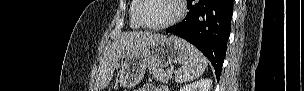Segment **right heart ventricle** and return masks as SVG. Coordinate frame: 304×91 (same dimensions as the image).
I'll return each mask as SVG.
<instances>
[{"instance_id": "e07e8e85", "label": "right heart ventricle", "mask_w": 304, "mask_h": 91, "mask_svg": "<svg viewBox=\"0 0 304 91\" xmlns=\"http://www.w3.org/2000/svg\"><path fill=\"white\" fill-rule=\"evenodd\" d=\"M138 7V1L137 0H133L131 3V7H130V11H129V15H130V26L133 29H139L141 28V24L138 22L137 17H136V10Z\"/></svg>"}]
</instances>
